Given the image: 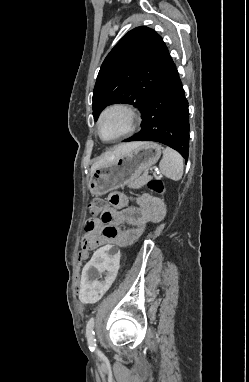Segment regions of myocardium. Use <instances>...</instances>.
Masks as SVG:
<instances>
[{
	"label": "myocardium",
	"instance_id": "f54148a6",
	"mask_svg": "<svg viewBox=\"0 0 249 382\" xmlns=\"http://www.w3.org/2000/svg\"><path fill=\"white\" fill-rule=\"evenodd\" d=\"M113 112H120V113L124 114V116L126 118V129L124 132H122V133H120L114 137L105 138V137H103V135L101 133V123L107 115H109L110 113H113ZM138 123H139V116L132 106L125 104V103H113V104L106 106L101 111V113L97 119V122H96V130H97V134H98L99 138L102 141H104V142H115V141L127 138L128 136L133 134Z\"/></svg>",
	"mask_w": 249,
	"mask_h": 382
}]
</instances>
